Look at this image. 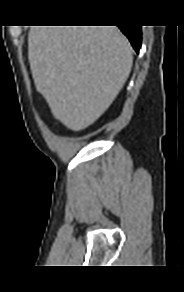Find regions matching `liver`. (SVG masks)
<instances>
[{
	"label": "liver",
	"instance_id": "liver-1",
	"mask_svg": "<svg viewBox=\"0 0 184 292\" xmlns=\"http://www.w3.org/2000/svg\"><path fill=\"white\" fill-rule=\"evenodd\" d=\"M28 58L37 91L73 131L109 108L133 64L131 45L116 26H34Z\"/></svg>",
	"mask_w": 184,
	"mask_h": 292
}]
</instances>
